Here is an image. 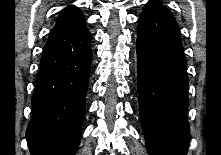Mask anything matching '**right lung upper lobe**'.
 <instances>
[{"label":"right lung upper lobe","instance_id":"right-lung-upper-lobe-1","mask_svg":"<svg viewBox=\"0 0 221 155\" xmlns=\"http://www.w3.org/2000/svg\"><path fill=\"white\" fill-rule=\"evenodd\" d=\"M85 23V18L81 13V10L75 6L66 7L62 13L58 16L56 25L53 30H64L77 27Z\"/></svg>","mask_w":221,"mask_h":155}]
</instances>
